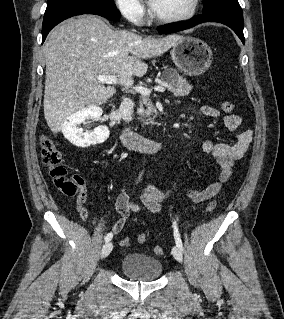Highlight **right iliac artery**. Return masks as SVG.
Masks as SVG:
<instances>
[{
  "mask_svg": "<svg viewBox=\"0 0 284 319\" xmlns=\"http://www.w3.org/2000/svg\"><path fill=\"white\" fill-rule=\"evenodd\" d=\"M113 237V234L112 233H108L106 236H105V242H109Z\"/></svg>",
  "mask_w": 284,
  "mask_h": 319,
  "instance_id": "obj_1",
  "label": "right iliac artery"
}]
</instances>
